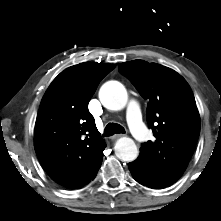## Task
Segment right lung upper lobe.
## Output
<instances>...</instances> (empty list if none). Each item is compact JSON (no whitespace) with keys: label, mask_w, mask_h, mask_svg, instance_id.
<instances>
[{"label":"right lung upper lobe","mask_w":221,"mask_h":221,"mask_svg":"<svg viewBox=\"0 0 221 221\" xmlns=\"http://www.w3.org/2000/svg\"><path fill=\"white\" fill-rule=\"evenodd\" d=\"M114 69L84 62L67 68L50 84L40 104L34 147L46 173L66 188H80L96 176L106 147L88 103L99 82Z\"/></svg>","instance_id":"cb5924a9"}]
</instances>
